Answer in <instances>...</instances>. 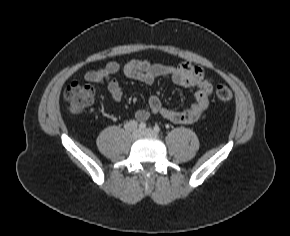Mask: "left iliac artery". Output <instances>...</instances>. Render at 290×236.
<instances>
[{"instance_id": "left-iliac-artery-1", "label": "left iliac artery", "mask_w": 290, "mask_h": 236, "mask_svg": "<svg viewBox=\"0 0 290 236\" xmlns=\"http://www.w3.org/2000/svg\"><path fill=\"white\" fill-rule=\"evenodd\" d=\"M160 130H161V129H160V127H159L158 125H155V126H154V131H155V132L159 133Z\"/></svg>"}]
</instances>
